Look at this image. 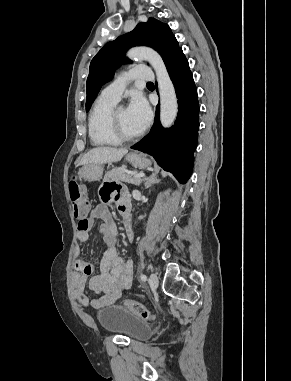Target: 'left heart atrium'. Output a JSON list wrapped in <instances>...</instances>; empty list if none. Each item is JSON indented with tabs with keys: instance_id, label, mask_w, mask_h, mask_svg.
<instances>
[{
	"instance_id": "left-heart-atrium-1",
	"label": "left heart atrium",
	"mask_w": 291,
	"mask_h": 381,
	"mask_svg": "<svg viewBox=\"0 0 291 381\" xmlns=\"http://www.w3.org/2000/svg\"><path fill=\"white\" fill-rule=\"evenodd\" d=\"M127 111L140 130L145 129L151 120L150 107L140 94L132 97Z\"/></svg>"
}]
</instances>
